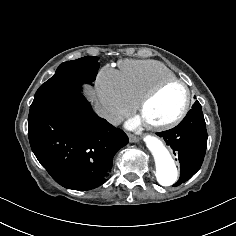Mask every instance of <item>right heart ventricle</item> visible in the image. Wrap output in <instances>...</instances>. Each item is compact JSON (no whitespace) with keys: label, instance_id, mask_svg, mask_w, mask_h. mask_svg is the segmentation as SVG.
Wrapping results in <instances>:
<instances>
[{"label":"right heart ventricle","instance_id":"e07e8e85","mask_svg":"<svg viewBox=\"0 0 236 236\" xmlns=\"http://www.w3.org/2000/svg\"><path fill=\"white\" fill-rule=\"evenodd\" d=\"M121 72L127 92L135 103L158 82L177 77L164 63L154 60L124 61Z\"/></svg>","mask_w":236,"mask_h":236}]
</instances>
